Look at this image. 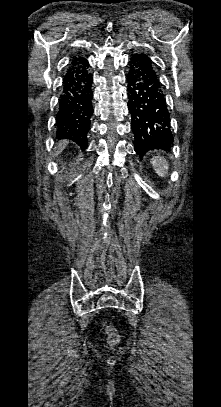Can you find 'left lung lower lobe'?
<instances>
[{"mask_svg":"<svg viewBox=\"0 0 221 407\" xmlns=\"http://www.w3.org/2000/svg\"><path fill=\"white\" fill-rule=\"evenodd\" d=\"M127 81L136 153L143 156L152 149L168 151L173 142L170 114L158 72L148 55L131 57Z\"/></svg>","mask_w":221,"mask_h":407,"instance_id":"left-lung-lower-lobe-1","label":"left lung lower lobe"}]
</instances>
